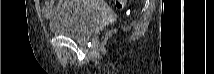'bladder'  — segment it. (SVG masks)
Returning a JSON list of instances; mask_svg holds the SVG:
<instances>
[{"instance_id": "bladder-1", "label": "bladder", "mask_w": 214, "mask_h": 74, "mask_svg": "<svg viewBox=\"0 0 214 74\" xmlns=\"http://www.w3.org/2000/svg\"><path fill=\"white\" fill-rule=\"evenodd\" d=\"M69 6L60 7L50 20L51 32L55 35L86 40L97 28L101 14L84 1H70Z\"/></svg>"}]
</instances>
